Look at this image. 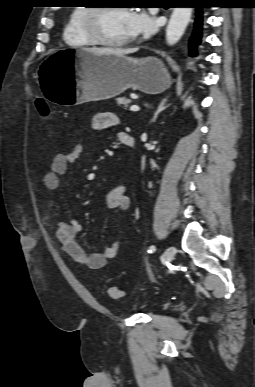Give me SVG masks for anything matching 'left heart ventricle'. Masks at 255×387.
Listing matches in <instances>:
<instances>
[{"label":"left heart ventricle","mask_w":255,"mask_h":387,"mask_svg":"<svg viewBox=\"0 0 255 387\" xmlns=\"http://www.w3.org/2000/svg\"><path fill=\"white\" fill-rule=\"evenodd\" d=\"M102 34L112 40H122L131 37L129 30V11L121 8H111L103 11L99 18Z\"/></svg>","instance_id":"obj_1"}]
</instances>
